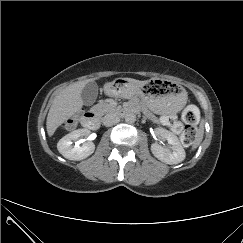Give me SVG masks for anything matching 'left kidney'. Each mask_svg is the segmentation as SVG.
I'll return each instance as SVG.
<instances>
[{
	"instance_id": "left-kidney-1",
	"label": "left kidney",
	"mask_w": 243,
	"mask_h": 243,
	"mask_svg": "<svg viewBox=\"0 0 243 243\" xmlns=\"http://www.w3.org/2000/svg\"><path fill=\"white\" fill-rule=\"evenodd\" d=\"M156 133L161 136L162 139L168 141L170 148L163 147L158 143H153L151 145L152 154L166 164L172 165L182 162L186 154L178 137L164 128H157Z\"/></svg>"
}]
</instances>
